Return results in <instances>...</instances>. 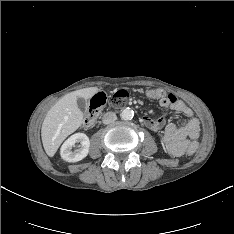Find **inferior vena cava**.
<instances>
[{"mask_svg": "<svg viewBox=\"0 0 234 234\" xmlns=\"http://www.w3.org/2000/svg\"><path fill=\"white\" fill-rule=\"evenodd\" d=\"M117 116L113 112H107L103 115L102 121L104 124H110L116 121Z\"/></svg>", "mask_w": 234, "mask_h": 234, "instance_id": "obj_1", "label": "inferior vena cava"}]
</instances>
